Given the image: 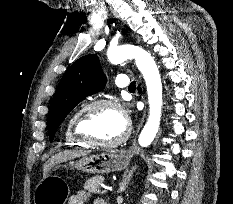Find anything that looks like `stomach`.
<instances>
[{"instance_id": "stomach-1", "label": "stomach", "mask_w": 233, "mask_h": 204, "mask_svg": "<svg viewBox=\"0 0 233 204\" xmlns=\"http://www.w3.org/2000/svg\"><path fill=\"white\" fill-rule=\"evenodd\" d=\"M132 157L131 151L111 150L81 157L63 167L86 173L103 174L126 169ZM60 167L61 165H58L55 169ZM67 196V183L58 176L47 174L36 186L33 200L34 204H65Z\"/></svg>"}]
</instances>
